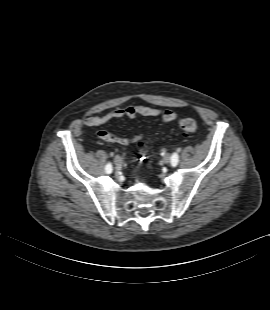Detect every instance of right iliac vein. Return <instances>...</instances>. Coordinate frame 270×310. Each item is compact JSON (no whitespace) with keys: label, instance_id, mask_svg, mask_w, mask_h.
Instances as JSON below:
<instances>
[{"label":"right iliac vein","instance_id":"right-iliac-vein-1","mask_svg":"<svg viewBox=\"0 0 270 310\" xmlns=\"http://www.w3.org/2000/svg\"><path fill=\"white\" fill-rule=\"evenodd\" d=\"M114 163L117 165V166H120L122 164V158L120 156H116L114 158Z\"/></svg>","mask_w":270,"mask_h":310}]
</instances>
